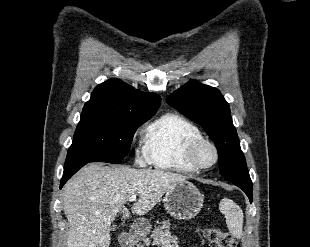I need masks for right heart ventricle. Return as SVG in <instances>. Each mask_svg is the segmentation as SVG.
I'll list each match as a JSON object with an SVG mask.
<instances>
[{
    "instance_id": "1",
    "label": "right heart ventricle",
    "mask_w": 310,
    "mask_h": 247,
    "mask_svg": "<svg viewBox=\"0 0 310 247\" xmlns=\"http://www.w3.org/2000/svg\"><path fill=\"white\" fill-rule=\"evenodd\" d=\"M202 137L199 128L176 113H166L145 130V152L150 164L158 169L193 173L185 158L188 143Z\"/></svg>"
}]
</instances>
